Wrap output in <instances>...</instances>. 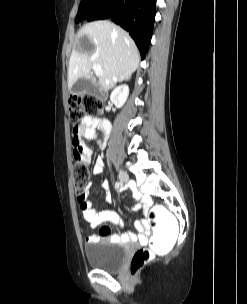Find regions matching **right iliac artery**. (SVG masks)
<instances>
[{
  "label": "right iliac artery",
  "mask_w": 247,
  "mask_h": 304,
  "mask_svg": "<svg viewBox=\"0 0 247 304\" xmlns=\"http://www.w3.org/2000/svg\"><path fill=\"white\" fill-rule=\"evenodd\" d=\"M118 186H120V183L119 182H116L115 183V188L118 190Z\"/></svg>",
  "instance_id": "right-iliac-artery-1"
}]
</instances>
